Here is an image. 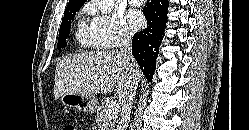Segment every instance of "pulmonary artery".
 <instances>
[{
    "label": "pulmonary artery",
    "instance_id": "e3ab8cb5",
    "mask_svg": "<svg viewBox=\"0 0 249 130\" xmlns=\"http://www.w3.org/2000/svg\"><path fill=\"white\" fill-rule=\"evenodd\" d=\"M129 4L133 6H140L143 3V0H128Z\"/></svg>",
    "mask_w": 249,
    "mask_h": 130
}]
</instances>
